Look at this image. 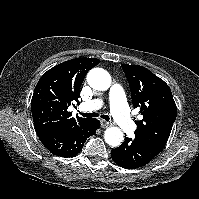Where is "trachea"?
<instances>
[{
  "instance_id": "trachea-1",
  "label": "trachea",
  "mask_w": 199,
  "mask_h": 199,
  "mask_svg": "<svg viewBox=\"0 0 199 199\" xmlns=\"http://www.w3.org/2000/svg\"><path fill=\"white\" fill-rule=\"evenodd\" d=\"M83 117H86V118H92V117H98L99 114L98 113H80ZM102 119L106 120V121H109V116L108 115H101L100 116Z\"/></svg>"
}]
</instances>
